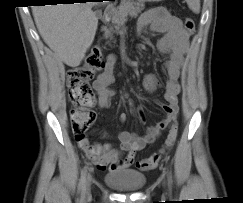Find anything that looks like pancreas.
Wrapping results in <instances>:
<instances>
[{"instance_id":"pancreas-1","label":"pancreas","mask_w":243,"mask_h":203,"mask_svg":"<svg viewBox=\"0 0 243 203\" xmlns=\"http://www.w3.org/2000/svg\"><path fill=\"white\" fill-rule=\"evenodd\" d=\"M139 2H133L131 0H123L116 10L113 11L112 24L116 30H119L121 26L127 21V16L137 17L139 13L144 9V4ZM113 27L105 30V37L112 39Z\"/></svg>"}]
</instances>
